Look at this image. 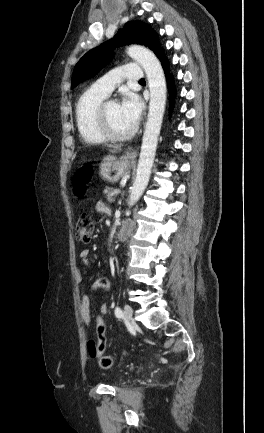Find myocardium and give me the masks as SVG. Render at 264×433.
Instances as JSON below:
<instances>
[{"instance_id":"f54148a6","label":"myocardium","mask_w":264,"mask_h":433,"mask_svg":"<svg viewBox=\"0 0 264 433\" xmlns=\"http://www.w3.org/2000/svg\"><path fill=\"white\" fill-rule=\"evenodd\" d=\"M118 103L115 99L104 100L96 111V123L103 136L111 141H125L132 138L137 132V126L134 125L125 133H116L110 126L107 109L110 104Z\"/></svg>"}]
</instances>
